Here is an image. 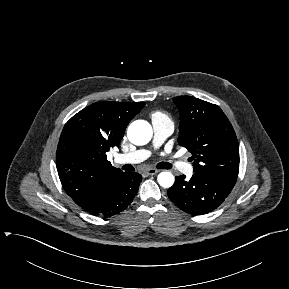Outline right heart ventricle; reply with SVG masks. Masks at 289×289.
<instances>
[{"label": "right heart ventricle", "mask_w": 289, "mask_h": 289, "mask_svg": "<svg viewBox=\"0 0 289 289\" xmlns=\"http://www.w3.org/2000/svg\"><path fill=\"white\" fill-rule=\"evenodd\" d=\"M152 120L153 121H163V122H170L171 123V120L169 118V116L164 113V112H161V111H156L152 114Z\"/></svg>", "instance_id": "e07e8e85"}]
</instances>
